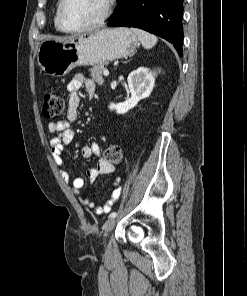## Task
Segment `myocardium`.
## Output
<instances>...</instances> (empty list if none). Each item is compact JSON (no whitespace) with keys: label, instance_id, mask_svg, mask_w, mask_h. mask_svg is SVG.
Listing matches in <instances>:
<instances>
[{"label":"myocardium","instance_id":"1","mask_svg":"<svg viewBox=\"0 0 247 296\" xmlns=\"http://www.w3.org/2000/svg\"><path fill=\"white\" fill-rule=\"evenodd\" d=\"M67 0H60L58 7H57V12H56V19H57V25L59 29L65 33H71V34H78V33H83V32H88L92 31L94 29H97L101 26H103L106 21L108 20L111 10H112V0H103V12L100 18L95 21L92 24H89L85 27L81 28H68L64 22H63V17H62V12L64 5Z\"/></svg>","mask_w":247,"mask_h":296}]
</instances>
